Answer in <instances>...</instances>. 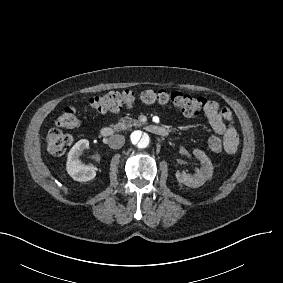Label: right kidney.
Here are the masks:
<instances>
[{
	"instance_id": "obj_1",
	"label": "right kidney",
	"mask_w": 283,
	"mask_h": 283,
	"mask_svg": "<svg viewBox=\"0 0 283 283\" xmlns=\"http://www.w3.org/2000/svg\"><path fill=\"white\" fill-rule=\"evenodd\" d=\"M87 149H89V141L82 139L68 153L66 170L76 181H88L96 175L94 167L80 164L79 156Z\"/></svg>"
}]
</instances>
